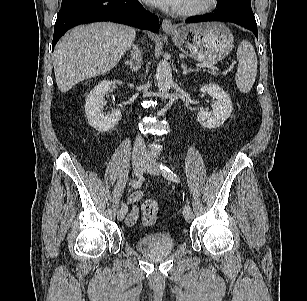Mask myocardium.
Listing matches in <instances>:
<instances>
[{"label":"myocardium","mask_w":307,"mask_h":301,"mask_svg":"<svg viewBox=\"0 0 307 301\" xmlns=\"http://www.w3.org/2000/svg\"><path fill=\"white\" fill-rule=\"evenodd\" d=\"M218 3V0H201L198 3L185 7L176 9L175 13L179 16L191 17L202 15L213 10Z\"/></svg>","instance_id":"obj_1"}]
</instances>
